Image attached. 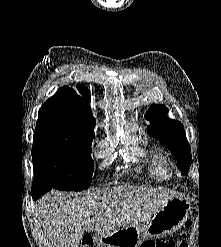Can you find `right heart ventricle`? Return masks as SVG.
I'll return each instance as SVG.
<instances>
[{"mask_svg":"<svg viewBox=\"0 0 221 247\" xmlns=\"http://www.w3.org/2000/svg\"><path fill=\"white\" fill-rule=\"evenodd\" d=\"M149 169L151 175L159 179L169 177V163L167 157L160 151L155 150L149 159Z\"/></svg>","mask_w":221,"mask_h":247,"instance_id":"e07e8e85","label":"right heart ventricle"}]
</instances>
